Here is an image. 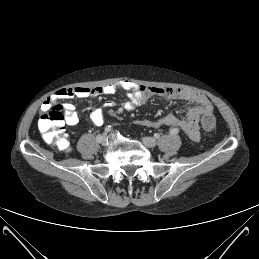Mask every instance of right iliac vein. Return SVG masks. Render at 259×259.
Wrapping results in <instances>:
<instances>
[{
    "instance_id": "1",
    "label": "right iliac vein",
    "mask_w": 259,
    "mask_h": 259,
    "mask_svg": "<svg viewBox=\"0 0 259 259\" xmlns=\"http://www.w3.org/2000/svg\"><path fill=\"white\" fill-rule=\"evenodd\" d=\"M101 145H106L108 143V137L106 134L101 135V139L98 141Z\"/></svg>"
}]
</instances>
